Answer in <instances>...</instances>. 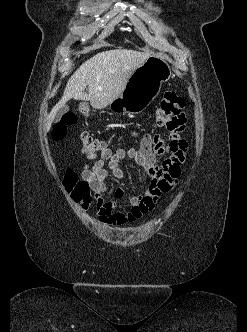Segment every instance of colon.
I'll use <instances>...</instances> for the list:
<instances>
[{"label":"colon","mask_w":247,"mask_h":332,"mask_svg":"<svg viewBox=\"0 0 247 332\" xmlns=\"http://www.w3.org/2000/svg\"><path fill=\"white\" fill-rule=\"evenodd\" d=\"M185 100L177 92L169 90L164 93L159 107L155 113V123L158 127H165L171 133L181 131L184 127L185 118L183 108ZM80 112L87 114L89 108L87 105L80 106ZM77 122V117L74 113L65 114L61 121L53 128V138L55 140L63 139L68 127ZM81 147L84 154L89 157H94L107 149L106 143L102 140L92 137L87 133L81 134ZM65 186L68 193L83 207H88L91 204L92 198L90 193V186L84 180H79L75 172H69L65 177Z\"/></svg>","instance_id":"colon-1"}]
</instances>
